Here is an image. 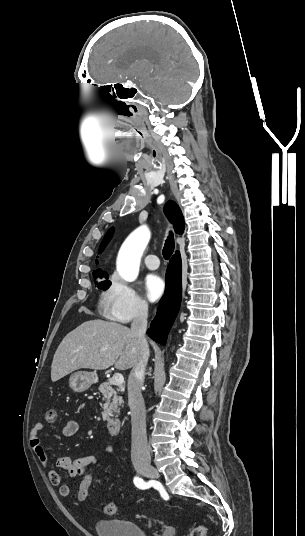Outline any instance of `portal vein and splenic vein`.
<instances>
[{"instance_id": "obj_1", "label": "portal vein and splenic vein", "mask_w": 305, "mask_h": 536, "mask_svg": "<svg viewBox=\"0 0 305 536\" xmlns=\"http://www.w3.org/2000/svg\"><path fill=\"white\" fill-rule=\"evenodd\" d=\"M103 350H107V348H103ZM112 384H115V386H121L124 382V378L122 374H114L113 378H111Z\"/></svg>"}]
</instances>
